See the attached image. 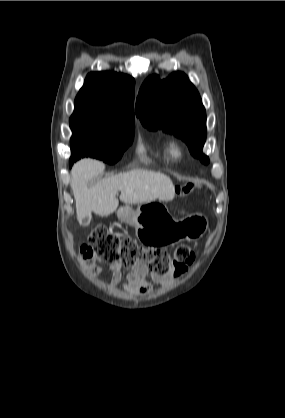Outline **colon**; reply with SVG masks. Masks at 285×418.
I'll return each instance as SVG.
<instances>
[{
	"label": "colon",
	"instance_id": "colon-1",
	"mask_svg": "<svg viewBox=\"0 0 285 418\" xmlns=\"http://www.w3.org/2000/svg\"><path fill=\"white\" fill-rule=\"evenodd\" d=\"M79 252L84 262H116L124 267L146 263L158 277H179L195 261L193 252L186 244L178 245L169 255L159 249L139 247L133 239L110 233L104 226H96L90 231L87 241L80 245Z\"/></svg>",
	"mask_w": 285,
	"mask_h": 418
}]
</instances>
